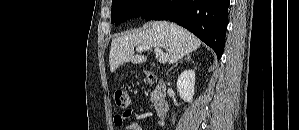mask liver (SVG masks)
<instances>
[{
	"label": "liver",
	"instance_id": "1",
	"mask_svg": "<svg viewBox=\"0 0 299 130\" xmlns=\"http://www.w3.org/2000/svg\"><path fill=\"white\" fill-rule=\"evenodd\" d=\"M200 45L201 41L194 34L177 24L149 22L135 33L127 32L113 38L109 54L110 71L114 72L127 62H145L146 56L134 55V48L138 46L163 48L169 56V63L174 64L183 56L196 51Z\"/></svg>",
	"mask_w": 299,
	"mask_h": 130
}]
</instances>
